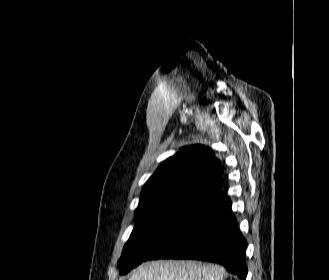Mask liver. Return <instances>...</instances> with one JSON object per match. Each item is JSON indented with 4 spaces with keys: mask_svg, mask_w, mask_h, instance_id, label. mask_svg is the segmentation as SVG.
<instances>
[{
    "mask_svg": "<svg viewBox=\"0 0 329 280\" xmlns=\"http://www.w3.org/2000/svg\"><path fill=\"white\" fill-rule=\"evenodd\" d=\"M223 274L218 265L158 260L140 265L128 280H223Z\"/></svg>",
    "mask_w": 329,
    "mask_h": 280,
    "instance_id": "obj_1",
    "label": "liver"
}]
</instances>
